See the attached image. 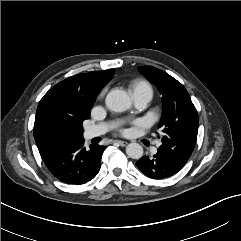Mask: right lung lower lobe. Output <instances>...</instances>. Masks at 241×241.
Returning a JSON list of instances; mask_svg holds the SVG:
<instances>
[{
	"label": "right lung lower lobe",
	"instance_id": "98d812e1",
	"mask_svg": "<svg viewBox=\"0 0 241 241\" xmlns=\"http://www.w3.org/2000/svg\"><path fill=\"white\" fill-rule=\"evenodd\" d=\"M83 138L70 141L42 157L48 170L61 182L85 184L91 181L100 170V160L104 146H83Z\"/></svg>",
	"mask_w": 241,
	"mask_h": 241
}]
</instances>
